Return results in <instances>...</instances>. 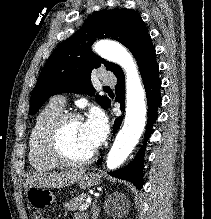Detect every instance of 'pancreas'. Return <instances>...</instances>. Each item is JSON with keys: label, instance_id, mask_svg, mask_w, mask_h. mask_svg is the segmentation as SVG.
Returning a JSON list of instances; mask_svg holds the SVG:
<instances>
[{"label": "pancreas", "instance_id": "pancreas-1", "mask_svg": "<svg viewBox=\"0 0 211 219\" xmlns=\"http://www.w3.org/2000/svg\"><path fill=\"white\" fill-rule=\"evenodd\" d=\"M86 197H87L86 194H81L79 196H76L71 200H69V202H66L64 204V208L71 211L78 210L83 205V202Z\"/></svg>", "mask_w": 211, "mask_h": 219}]
</instances>
